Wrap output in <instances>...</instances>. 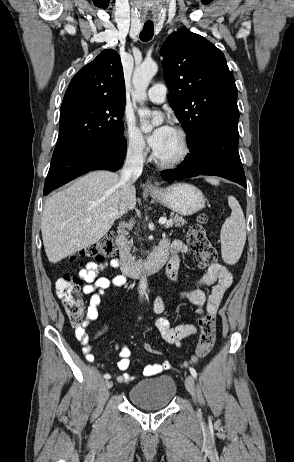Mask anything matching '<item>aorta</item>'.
<instances>
[{
    "label": "aorta",
    "mask_w": 294,
    "mask_h": 462,
    "mask_svg": "<svg viewBox=\"0 0 294 462\" xmlns=\"http://www.w3.org/2000/svg\"><path fill=\"white\" fill-rule=\"evenodd\" d=\"M158 71V65L153 60H145L134 70L132 82L134 86V92L132 98L140 103L146 100V90L149 86L151 79ZM140 116H150L151 112L146 108H141L138 111ZM158 125L157 121H153L151 125L144 128L145 132H149L152 128ZM147 277L143 276L140 279L138 290L140 297H143L147 289Z\"/></svg>",
    "instance_id": "762f6f07"
}]
</instances>
